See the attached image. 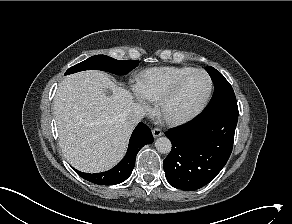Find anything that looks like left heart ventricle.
I'll return each instance as SVG.
<instances>
[{
	"label": "left heart ventricle",
	"mask_w": 292,
	"mask_h": 224,
	"mask_svg": "<svg viewBox=\"0 0 292 224\" xmlns=\"http://www.w3.org/2000/svg\"><path fill=\"white\" fill-rule=\"evenodd\" d=\"M209 80L205 74L198 73L190 77L176 97L167 105L166 115L181 117L192 112L205 98Z\"/></svg>",
	"instance_id": "b2bd125f"
}]
</instances>
